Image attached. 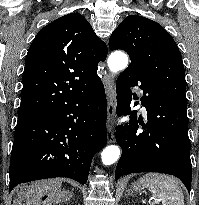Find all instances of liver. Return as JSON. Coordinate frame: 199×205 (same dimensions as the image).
Instances as JSON below:
<instances>
[{"label": "liver", "instance_id": "1", "mask_svg": "<svg viewBox=\"0 0 199 205\" xmlns=\"http://www.w3.org/2000/svg\"><path fill=\"white\" fill-rule=\"evenodd\" d=\"M60 180H43L35 182L26 191H19L16 200L17 205H41V199L48 196V203H60L67 200L71 195L61 191ZM24 202V203H23Z\"/></svg>", "mask_w": 199, "mask_h": 205}]
</instances>
